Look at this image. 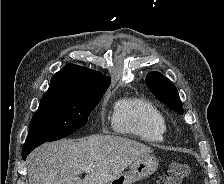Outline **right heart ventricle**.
<instances>
[{
  "label": "right heart ventricle",
  "instance_id": "right-heart-ventricle-1",
  "mask_svg": "<svg viewBox=\"0 0 224 184\" xmlns=\"http://www.w3.org/2000/svg\"><path fill=\"white\" fill-rule=\"evenodd\" d=\"M112 125L119 133L132 134L150 143L162 142L168 129L164 114L140 97L119 100L114 107Z\"/></svg>",
  "mask_w": 224,
  "mask_h": 184
}]
</instances>
